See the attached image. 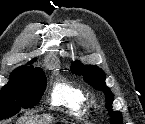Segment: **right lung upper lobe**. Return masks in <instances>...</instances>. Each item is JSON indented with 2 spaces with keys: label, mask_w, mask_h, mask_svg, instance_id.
Returning a JSON list of instances; mask_svg holds the SVG:
<instances>
[{
  "label": "right lung upper lobe",
  "mask_w": 145,
  "mask_h": 124,
  "mask_svg": "<svg viewBox=\"0 0 145 124\" xmlns=\"http://www.w3.org/2000/svg\"><path fill=\"white\" fill-rule=\"evenodd\" d=\"M33 61H35V59L32 60V61H30V63H32ZM35 69H39V68H33L32 66H30V67H25V66L19 67V68L15 69V70L12 72V74H11L10 77H17V76L25 75V74H27V73L32 72V71L35 70Z\"/></svg>",
  "instance_id": "right-lung-upper-lobe-1"
}]
</instances>
